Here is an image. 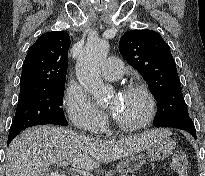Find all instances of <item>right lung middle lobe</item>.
Instances as JSON below:
<instances>
[{
    "instance_id": "obj_1",
    "label": "right lung middle lobe",
    "mask_w": 205,
    "mask_h": 176,
    "mask_svg": "<svg viewBox=\"0 0 205 176\" xmlns=\"http://www.w3.org/2000/svg\"><path fill=\"white\" fill-rule=\"evenodd\" d=\"M64 89L65 83L20 95L8 138H14L22 130L36 125L66 126L67 121L60 108Z\"/></svg>"
}]
</instances>
